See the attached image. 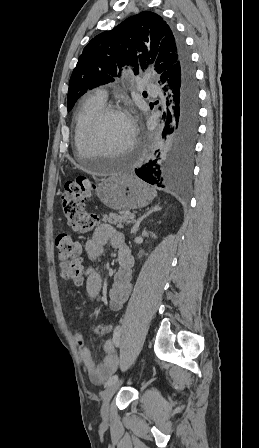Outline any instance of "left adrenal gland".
<instances>
[{
    "label": "left adrenal gland",
    "instance_id": "1",
    "mask_svg": "<svg viewBox=\"0 0 259 448\" xmlns=\"http://www.w3.org/2000/svg\"><path fill=\"white\" fill-rule=\"evenodd\" d=\"M158 210H161V208H159V206H155V208H152V210H149V212H147V214H144V216H141V218H139V220H137L136 224H134V228L132 230L133 234H136V232H138L139 226H140L142 220H144V218H147V216H149V214H152V212H158Z\"/></svg>",
    "mask_w": 259,
    "mask_h": 448
}]
</instances>
